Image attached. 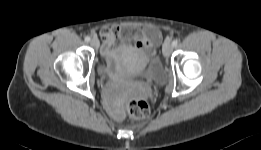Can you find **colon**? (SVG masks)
I'll use <instances>...</instances> for the list:
<instances>
[{
    "mask_svg": "<svg viewBox=\"0 0 261 150\" xmlns=\"http://www.w3.org/2000/svg\"><path fill=\"white\" fill-rule=\"evenodd\" d=\"M128 114L136 119L146 118L150 113L148 103L139 98H131L126 104Z\"/></svg>",
    "mask_w": 261,
    "mask_h": 150,
    "instance_id": "1",
    "label": "colon"
}]
</instances>
